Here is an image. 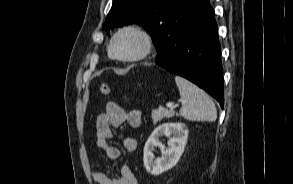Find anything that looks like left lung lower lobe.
Masks as SVG:
<instances>
[{"instance_id": "obj_1", "label": "left lung lower lobe", "mask_w": 293, "mask_h": 184, "mask_svg": "<svg viewBox=\"0 0 293 184\" xmlns=\"http://www.w3.org/2000/svg\"><path fill=\"white\" fill-rule=\"evenodd\" d=\"M156 64L195 83L223 107V70L209 0H182L173 10Z\"/></svg>"}]
</instances>
